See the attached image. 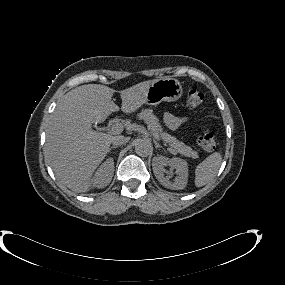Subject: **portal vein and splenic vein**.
Returning a JSON list of instances; mask_svg holds the SVG:
<instances>
[{
  "label": "portal vein and splenic vein",
  "mask_w": 285,
  "mask_h": 285,
  "mask_svg": "<svg viewBox=\"0 0 285 285\" xmlns=\"http://www.w3.org/2000/svg\"><path fill=\"white\" fill-rule=\"evenodd\" d=\"M124 126L120 123L114 124L111 128L110 131L114 134L120 133L123 130Z\"/></svg>",
  "instance_id": "obj_1"
}]
</instances>
